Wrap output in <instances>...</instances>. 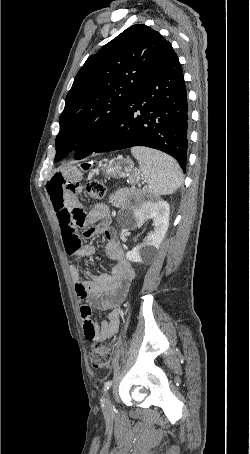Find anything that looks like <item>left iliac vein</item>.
<instances>
[{
    "label": "left iliac vein",
    "instance_id": "1",
    "mask_svg": "<svg viewBox=\"0 0 250 454\" xmlns=\"http://www.w3.org/2000/svg\"><path fill=\"white\" fill-rule=\"evenodd\" d=\"M112 401L110 398V395L108 392H106L105 397H104V411L106 413H111L112 412Z\"/></svg>",
    "mask_w": 250,
    "mask_h": 454
}]
</instances>
